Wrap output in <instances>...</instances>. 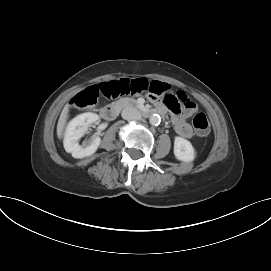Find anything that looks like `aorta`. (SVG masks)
<instances>
[{
  "instance_id": "762f6f07",
  "label": "aorta",
  "mask_w": 271,
  "mask_h": 271,
  "mask_svg": "<svg viewBox=\"0 0 271 271\" xmlns=\"http://www.w3.org/2000/svg\"><path fill=\"white\" fill-rule=\"evenodd\" d=\"M149 122L151 125H159L161 122V118L158 114H153L152 116H150L149 118Z\"/></svg>"
}]
</instances>
